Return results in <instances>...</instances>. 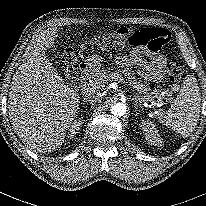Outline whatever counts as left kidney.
I'll return each instance as SVG.
<instances>
[{
    "label": "left kidney",
    "mask_w": 206,
    "mask_h": 206,
    "mask_svg": "<svg viewBox=\"0 0 206 206\" xmlns=\"http://www.w3.org/2000/svg\"><path fill=\"white\" fill-rule=\"evenodd\" d=\"M145 139L148 141L149 144L154 146H162V139L158 134V130L152 122L148 120H143L141 124Z\"/></svg>",
    "instance_id": "obj_1"
}]
</instances>
